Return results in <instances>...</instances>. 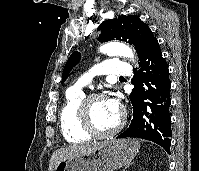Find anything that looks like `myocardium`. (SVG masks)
<instances>
[{
    "label": "myocardium",
    "mask_w": 199,
    "mask_h": 171,
    "mask_svg": "<svg viewBox=\"0 0 199 171\" xmlns=\"http://www.w3.org/2000/svg\"><path fill=\"white\" fill-rule=\"evenodd\" d=\"M105 98V95L100 92L90 93L85 95L82 99L79 111L82 121V127L86 133L92 137L103 138L117 134L125 124V113L122 112L119 116L117 123L108 130H100L95 126L91 113V104L93 101Z\"/></svg>",
    "instance_id": "obj_1"
}]
</instances>
